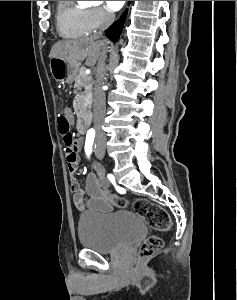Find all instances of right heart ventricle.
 Masks as SVG:
<instances>
[{"mask_svg": "<svg viewBox=\"0 0 237 300\" xmlns=\"http://www.w3.org/2000/svg\"><path fill=\"white\" fill-rule=\"evenodd\" d=\"M85 10L74 1H57L56 25L62 36L82 35L84 29Z\"/></svg>", "mask_w": 237, "mask_h": 300, "instance_id": "obj_1", "label": "right heart ventricle"}]
</instances>
